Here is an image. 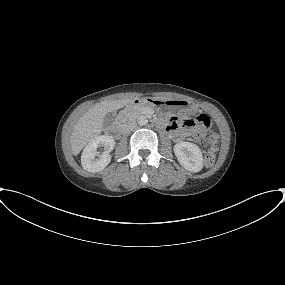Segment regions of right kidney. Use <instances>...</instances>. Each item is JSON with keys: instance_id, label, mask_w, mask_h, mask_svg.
<instances>
[{"instance_id": "right-kidney-1", "label": "right kidney", "mask_w": 285, "mask_h": 285, "mask_svg": "<svg viewBox=\"0 0 285 285\" xmlns=\"http://www.w3.org/2000/svg\"><path fill=\"white\" fill-rule=\"evenodd\" d=\"M99 147H104V152L101 154L97 152ZM114 147V139L109 135H101L91 140L81 155L83 169L91 173L103 170L111 161L110 152Z\"/></svg>"}]
</instances>
